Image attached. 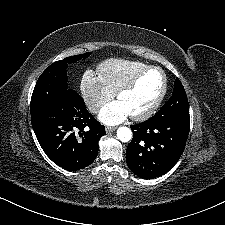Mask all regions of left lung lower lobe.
Wrapping results in <instances>:
<instances>
[{
  "mask_svg": "<svg viewBox=\"0 0 225 225\" xmlns=\"http://www.w3.org/2000/svg\"><path fill=\"white\" fill-rule=\"evenodd\" d=\"M189 126V115L153 116L131 125L133 139L126 149L128 167L143 179L166 174L184 151Z\"/></svg>",
  "mask_w": 225,
  "mask_h": 225,
  "instance_id": "left-lung-lower-lobe-1",
  "label": "left lung lower lobe"
}]
</instances>
